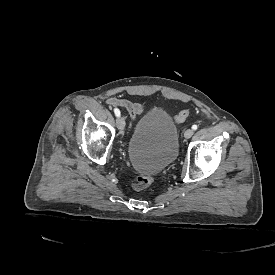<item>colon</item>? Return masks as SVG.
I'll list each match as a JSON object with an SVG mask.
<instances>
[{
	"mask_svg": "<svg viewBox=\"0 0 275 275\" xmlns=\"http://www.w3.org/2000/svg\"><path fill=\"white\" fill-rule=\"evenodd\" d=\"M188 115H189V112L187 110H183L177 117H175L174 121L176 123H180ZM151 182H152V176L148 173H142L136 178L135 182L133 183V188L136 191H141L148 188L151 185Z\"/></svg>",
	"mask_w": 275,
	"mask_h": 275,
	"instance_id": "5ec220e1",
	"label": "colon"
}]
</instances>
